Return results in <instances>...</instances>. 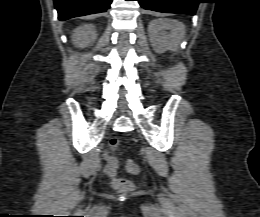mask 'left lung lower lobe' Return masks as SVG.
<instances>
[{
    "instance_id": "1",
    "label": "left lung lower lobe",
    "mask_w": 260,
    "mask_h": 217,
    "mask_svg": "<svg viewBox=\"0 0 260 217\" xmlns=\"http://www.w3.org/2000/svg\"><path fill=\"white\" fill-rule=\"evenodd\" d=\"M147 10L195 15L200 0H137Z\"/></svg>"
}]
</instances>
